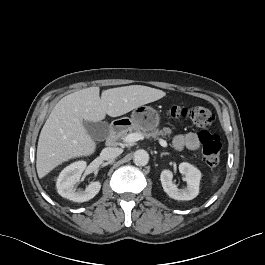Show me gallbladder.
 <instances>
[{
  "label": "gallbladder",
  "instance_id": "gallbladder-1",
  "mask_svg": "<svg viewBox=\"0 0 265 265\" xmlns=\"http://www.w3.org/2000/svg\"><path fill=\"white\" fill-rule=\"evenodd\" d=\"M84 126L87 129L88 134L94 140H104L109 132V125L105 121L100 122H84Z\"/></svg>",
  "mask_w": 265,
  "mask_h": 265
}]
</instances>
